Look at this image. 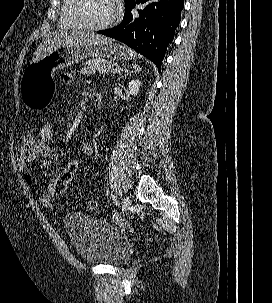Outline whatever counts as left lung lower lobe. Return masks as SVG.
Returning <instances> with one entry per match:
<instances>
[{"label": "left lung lower lobe", "mask_w": 272, "mask_h": 303, "mask_svg": "<svg viewBox=\"0 0 272 303\" xmlns=\"http://www.w3.org/2000/svg\"><path fill=\"white\" fill-rule=\"evenodd\" d=\"M148 3L138 15L131 9L135 4ZM184 0H134L126 7L118 26L98 33L115 38L150 59L161 70L168 44L180 23Z\"/></svg>", "instance_id": "left-lung-lower-lobe-1"}]
</instances>
